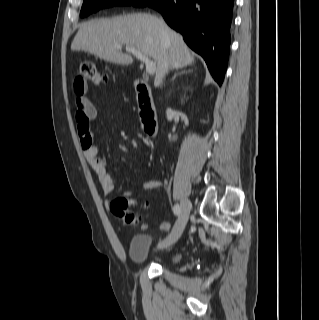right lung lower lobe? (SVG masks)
I'll return each instance as SVG.
<instances>
[{
  "instance_id": "obj_1",
  "label": "right lung lower lobe",
  "mask_w": 319,
  "mask_h": 320,
  "mask_svg": "<svg viewBox=\"0 0 319 320\" xmlns=\"http://www.w3.org/2000/svg\"><path fill=\"white\" fill-rule=\"evenodd\" d=\"M234 0H152L165 21L206 61L214 79L222 84L229 56Z\"/></svg>"
}]
</instances>
